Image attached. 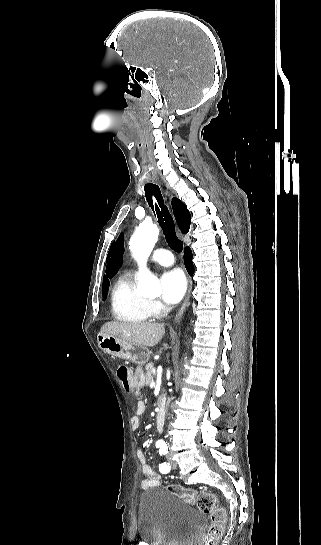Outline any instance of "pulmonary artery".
<instances>
[{"instance_id":"e3ab8cb5","label":"pulmonary artery","mask_w":321,"mask_h":545,"mask_svg":"<svg viewBox=\"0 0 321 545\" xmlns=\"http://www.w3.org/2000/svg\"><path fill=\"white\" fill-rule=\"evenodd\" d=\"M150 260L162 266H171L174 263L171 251L166 249L154 250Z\"/></svg>"}]
</instances>
